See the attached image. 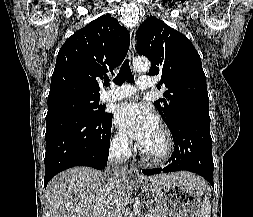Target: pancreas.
<instances>
[{"label":"pancreas","mask_w":253,"mask_h":217,"mask_svg":"<svg viewBox=\"0 0 253 217\" xmlns=\"http://www.w3.org/2000/svg\"><path fill=\"white\" fill-rule=\"evenodd\" d=\"M150 212L152 217H164L158 209H152Z\"/></svg>","instance_id":"pancreas-1"}]
</instances>
